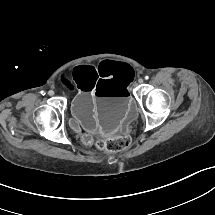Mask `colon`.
Instances as JSON below:
<instances>
[{
  "label": "colon",
  "instance_id": "5ec220e1",
  "mask_svg": "<svg viewBox=\"0 0 215 215\" xmlns=\"http://www.w3.org/2000/svg\"><path fill=\"white\" fill-rule=\"evenodd\" d=\"M128 145V138L122 135L102 138L97 141V147L107 151H117L126 148Z\"/></svg>",
  "mask_w": 215,
  "mask_h": 215
}]
</instances>
